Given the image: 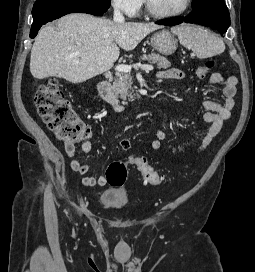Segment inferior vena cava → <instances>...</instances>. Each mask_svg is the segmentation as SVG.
Here are the masks:
<instances>
[{"label": "inferior vena cava", "instance_id": "inferior-vena-cava-1", "mask_svg": "<svg viewBox=\"0 0 255 272\" xmlns=\"http://www.w3.org/2000/svg\"><path fill=\"white\" fill-rule=\"evenodd\" d=\"M113 20L116 23H124L125 19L119 9L114 10Z\"/></svg>", "mask_w": 255, "mask_h": 272}]
</instances>
